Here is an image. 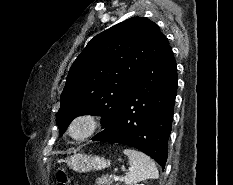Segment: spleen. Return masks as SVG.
Segmentation results:
<instances>
[{"label":"spleen","mask_w":233,"mask_h":185,"mask_svg":"<svg viewBox=\"0 0 233 185\" xmlns=\"http://www.w3.org/2000/svg\"><path fill=\"white\" fill-rule=\"evenodd\" d=\"M123 153L128 156L130 171L124 177L127 185H133L146 179H157L159 172L151 158L134 149H124Z\"/></svg>","instance_id":"3e777b00"}]
</instances>
